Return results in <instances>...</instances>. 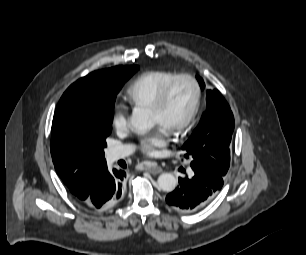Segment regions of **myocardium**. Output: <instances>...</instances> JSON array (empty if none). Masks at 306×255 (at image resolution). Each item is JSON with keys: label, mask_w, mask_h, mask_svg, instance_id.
<instances>
[{"label": "myocardium", "mask_w": 306, "mask_h": 255, "mask_svg": "<svg viewBox=\"0 0 306 255\" xmlns=\"http://www.w3.org/2000/svg\"><path fill=\"white\" fill-rule=\"evenodd\" d=\"M182 80L190 81L195 87L196 94L192 109L188 114V116L178 126L170 130V132L176 136L183 134L194 123V121L196 120L199 114L202 103V97H203V88L199 80L191 74L187 73L178 74L158 93V95L155 97V99L149 106L151 111L161 110L168 101L177 83H179Z\"/></svg>", "instance_id": "myocardium-1"}]
</instances>
